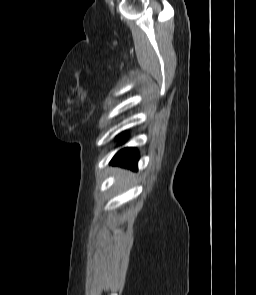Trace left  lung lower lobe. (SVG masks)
Returning <instances> with one entry per match:
<instances>
[{"mask_svg":"<svg viewBox=\"0 0 256 295\" xmlns=\"http://www.w3.org/2000/svg\"><path fill=\"white\" fill-rule=\"evenodd\" d=\"M138 159L139 155L135 148H124L116 153L110 163L136 170Z\"/></svg>","mask_w":256,"mask_h":295,"instance_id":"1","label":"left lung lower lobe"}]
</instances>
